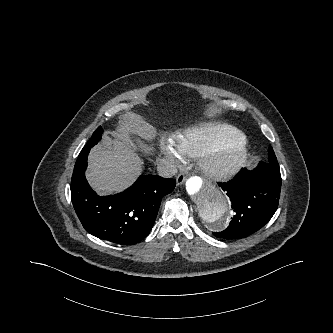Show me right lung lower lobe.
<instances>
[{"mask_svg": "<svg viewBox=\"0 0 333 333\" xmlns=\"http://www.w3.org/2000/svg\"><path fill=\"white\" fill-rule=\"evenodd\" d=\"M93 145H85L76 161L72 180V203L83 227L90 234L122 245L136 244L151 231L161 199L175 188V179L140 176L127 190L98 196L86 178L87 157Z\"/></svg>", "mask_w": 333, "mask_h": 333, "instance_id": "right-lung-lower-lobe-1", "label": "right lung lower lobe"}]
</instances>
